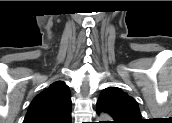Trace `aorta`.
Wrapping results in <instances>:
<instances>
[{"instance_id":"762f6f07","label":"aorta","mask_w":172,"mask_h":123,"mask_svg":"<svg viewBox=\"0 0 172 123\" xmlns=\"http://www.w3.org/2000/svg\"><path fill=\"white\" fill-rule=\"evenodd\" d=\"M103 118H108V116H106V115H103Z\"/></svg>"}]
</instances>
